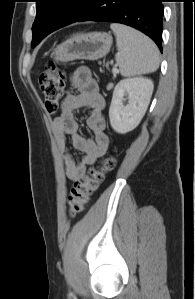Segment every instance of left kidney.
Returning <instances> with one entry per match:
<instances>
[{
	"label": "left kidney",
	"mask_w": 195,
	"mask_h": 299,
	"mask_svg": "<svg viewBox=\"0 0 195 299\" xmlns=\"http://www.w3.org/2000/svg\"><path fill=\"white\" fill-rule=\"evenodd\" d=\"M153 82L146 77L121 80L113 91L109 108L111 127L119 134L134 130L142 120L153 92ZM124 96L128 104L124 105Z\"/></svg>",
	"instance_id": "1"
}]
</instances>
